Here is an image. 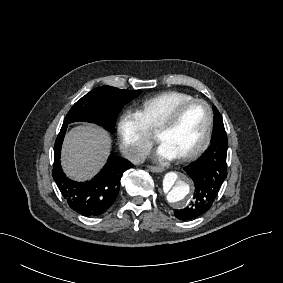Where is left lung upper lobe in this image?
<instances>
[{
	"label": "left lung upper lobe",
	"mask_w": 283,
	"mask_h": 283,
	"mask_svg": "<svg viewBox=\"0 0 283 283\" xmlns=\"http://www.w3.org/2000/svg\"><path fill=\"white\" fill-rule=\"evenodd\" d=\"M213 110H214V113H215V118H222L221 114L219 113L218 109L213 106Z\"/></svg>",
	"instance_id": "left-lung-upper-lobe-1"
}]
</instances>
